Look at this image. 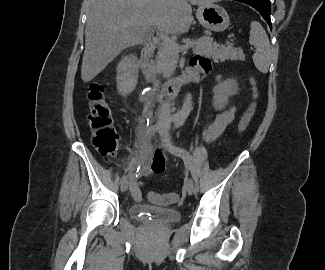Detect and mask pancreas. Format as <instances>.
Wrapping results in <instances>:
<instances>
[{"instance_id": "1", "label": "pancreas", "mask_w": 325, "mask_h": 270, "mask_svg": "<svg viewBox=\"0 0 325 270\" xmlns=\"http://www.w3.org/2000/svg\"><path fill=\"white\" fill-rule=\"evenodd\" d=\"M179 52L172 46L162 44L158 50V55L154 63V67L163 77L169 78L174 73ZM193 52L200 55L211 57L215 61L245 60V55L241 48H235L231 45H220L213 41L209 36H203L195 42Z\"/></svg>"}]
</instances>
